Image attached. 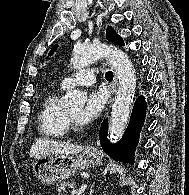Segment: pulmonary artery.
<instances>
[{"mask_svg":"<svg viewBox=\"0 0 189 195\" xmlns=\"http://www.w3.org/2000/svg\"><path fill=\"white\" fill-rule=\"evenodd\" d=\"M96 76L92 72H88L85 69H81L71 74L70 76L64 78L61 81V88L70 89L74 86H90L95 83Z\"/></svg>","mask_w":189,"mask_h":195,"instance_id":"pulmonary-artery-1","label":"pulmonary artery"}]
</instances>
